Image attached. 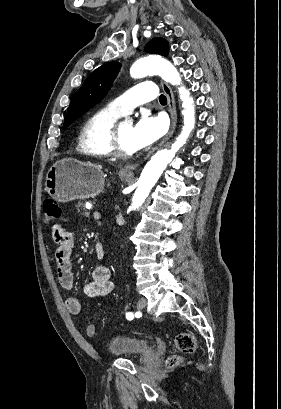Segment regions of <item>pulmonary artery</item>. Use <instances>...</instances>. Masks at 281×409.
<instances>
[{
  "mask_svg": "<svg viewBox=\"0 0 281 409\" xmlns=\"http://www.w3.org/2000/svg\"><path fill=\"white\" fill-rule=\"evenodd\" d=\"M156 93L157 88L152 81H137L136 86H132L131 90L122 91V97L113 98L111 110L124 115L129 110H134L135 106L150 103Z\"/></svg>",
  "mask_w": 281,
  "mask_h": 409,
  "instance_id": "pulmonary-artery-1",
  "label": "pulmonary artery"
}]
</instances>
